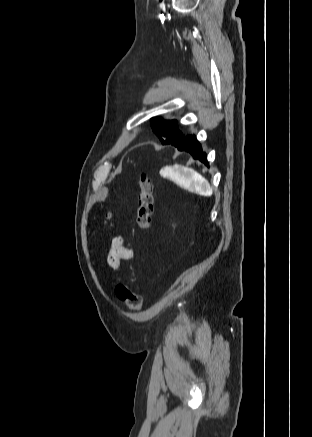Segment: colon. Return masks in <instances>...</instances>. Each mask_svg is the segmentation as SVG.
Wrapping results in <instances>:
<instances>
[{"label":"colon","instance_id":"colon-1","mask_svg":"<svg viewBox=\"0 0 312 437\" xmlns=\"http://www.w3.org/2000/svg\"><path fill=\"white\" fill-rule=\"evenodd\" d=\"M137 186L139 190L137 202V224L141 230H147L151 225L154 210L153 186L151 179L146 173H141ZM117 297L133 311H138L142 307V297L136 293L129 285L119 283L115 289Z\"/></svg>","mask_w":312,"mask_h":437}]
</instances>
